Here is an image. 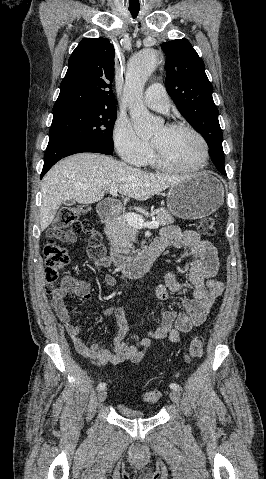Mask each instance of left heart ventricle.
Masks as SVG:
<instances>
[{
	"label": "left heart ventricle",
	"mask_w": 266,
	"mask_h": 479,
	"mask_svg": "<svg viewBox=\"0 0 266 479\" xmlns=\"http://www.w3.org/2000/svg\"><path fill=\"white\" fill-rule=\"evenodd\" d=\"M152 144L161 157L175 166H195L202 156L198 139L189 131L159 128L152 135Z\"/></svg>",
	"instance_id": "obj_1"
}]
</instances>
